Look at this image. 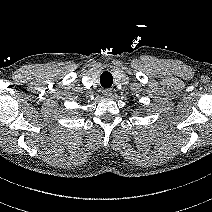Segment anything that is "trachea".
Listing matches in <instances>:
<instances>
[{"label": "trachea", "mask_w": 212, "mask_h": 212, "mask_svg": "<svg viewBox=\"0 0 212 212\" xmlns=\"http://www.w3.org/2000/svg\"><path fill=\"white\" fill-rule=\"evenodd\" d=\"M100 83L104 88H110L113 83V76L110 72L105 71L100 76Z\"/></svg>", "instance_id": "trachea-1"}]
</instances>
